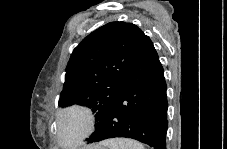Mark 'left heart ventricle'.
Here are the masks:
<instances>
[{
  "label": "left heart ventricle",
  "instance_id": "b2bd125f",
  "mask_svg": "<svg viewBox=\"0 0 227 149\" xmlns=\"http://www.w3.org/2000/svg\"><path fill=\"white\" fill-rule=\"evenodd\" d=\"M83 126V120L79 116H74L70 118L63 127L64 140H73L82 131Z\"/></svg>",
  "mask_w": 227,
  "mask_h": 149
}]
</instances>
